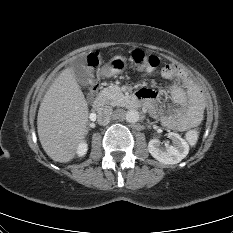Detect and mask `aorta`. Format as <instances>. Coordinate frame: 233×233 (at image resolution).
<instances>
[{"mask_svg": "<svg viewBox=\"0 0 233 233\" xmlns=\"http://www.w3.org/2000/svg\"><path fill=\"white\" fill-rule=\"evenodd\" d=\"M139 112L137 110L131 109L126 112L125 119L129 123H135L139 120Z\"/></svg>", "mask_w": 233, "mask_h": 233, "instance_id": "aorta-1", "label": "aorta"}]
</instances>
